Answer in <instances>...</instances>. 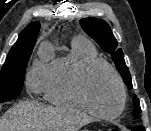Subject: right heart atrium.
Returning <instances> with one entry per match:
<instances>
[{"mask_svg":"<svg viewBox=\"0 0 151 131\" xmlns=\"http://www.w3.org/2000/svg\"><path fill=\"white\" fill-rule=\"evenodd\" d=\"M48 64L45 59H37L32 64L27 74V85L33 93L43 90L44 82L48 72Z\"/></svg>","mask_w":151,"mask_h":131,"instance_id":"right-heart-atrium-1","label":"right heart atrium"}]
</instances>
